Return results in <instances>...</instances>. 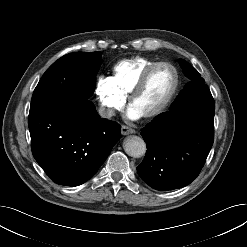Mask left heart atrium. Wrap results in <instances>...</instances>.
Returning a JSON list of instances; mask_svg holds the SVG:
<instances>
[{
	"mask_svg": "<svg viewBox=\"0 0 247 247\" xmlns=\"http://www.w3.org/2000/svg\"><path fill=\"white\" fill-rule=\"evenodd\" d=\"M127 116L132 120H137L141 117V115L137 113L132 107L128 109Z\"/></svg>",
	"mask_w": 247,
	"mask_h": 247,
	"instance_id": "left-heart-atrium-1",
	"label": "left heart atrium"
}]
</instances>
